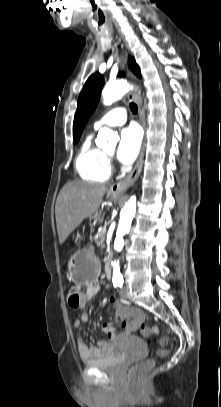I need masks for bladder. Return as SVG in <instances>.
Listing matches in <instances>:
<instances>
[{"label": "bladder", "instance_id": "1", "mask_svg": "<svg viewBox=\"0 0 221 407\" xmlns=\"http://www.w3.org/2000/svg\"><path fill=\"white\" fill-rule=\"evenodd\" d=\"M137 345L141 350L146 349V345L142 341H138ZM124 361L125 355L121 353L119 349H116L110 356L101 359L85 361V365L91 368H97L106 371H116L121 367Z\"/></svg>", "mask_w": 221, "mask_h": 407}]
</instances>
